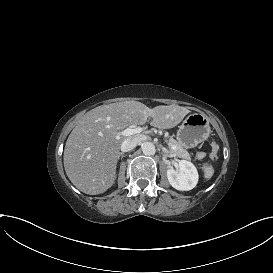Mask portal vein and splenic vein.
I'll use <instances>...</instances> for the list:
<instances>
[{
    "label": "portal vein and splenic vein",
    "mask_w": 273,
    "mask_h": 273,
    "mask_svg": "<svg viewBox=\"0 0 273 273\" xmlns=\"http://www.w3.org/2000/svg\"><path fill=\"white\" fill-rule=\"evenodd\" d=\"M142 131V128L138 127V128H127L125 129L124 131H122V135L123 136H131L133 134H137V133H140ZM170 149L171 150H174V151H177L178 150V147L175 146V145H171L170 146Z\"/></svg>",
    "instance_id": "obj_1"
}]
</instances>
